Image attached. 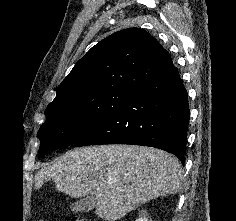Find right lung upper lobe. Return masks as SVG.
I'll list each match as a JSON object with an SVG mask.
<instances>
[{
    "label": "right lung upper lobe",
    "instance_id": "1",
    "mask_svg": "<svg viewBox=\"0 0 236 221\" xmlns=\"http://www.w3.org/2000/svg\"><path fill=\"white\" fill-rule=\"evenodd\" d=\"M173 66L169 53L149 33L124 29L93 46L76 63L48 106L115 88L138 91Z\"/></svg>",
    "mask_w": 236,
    "mask_h": 221
}]
</instances>
